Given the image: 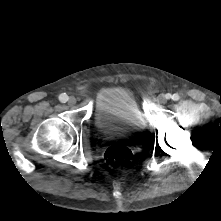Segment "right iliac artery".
I'll return each instance as SVG.
<instances>
[{"label":"right iliac artery","mask_w":221,"mask_h":221,"mask_svg":"<svg viewBox=\"0 0 221 221\" xmlns=\"http://www.w3.org/2000/svg\"><path fill=\"white\" fill-rule=\"evenodd\" d=\"M59 100L62 102V103H65L68 101V96L65 94V93H62L60 94L59 96Z\"/></svg>","instance_id":"obj_1"}]
</instances>
